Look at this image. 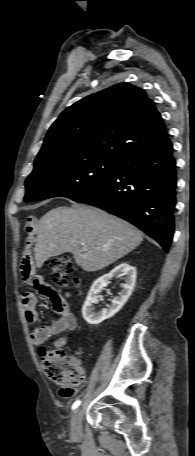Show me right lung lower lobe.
Here are the masks:
<instances>
[{
	"label": "right lung lower lobe",
	"instance_id": "98d812e1",
	"mask_svg": "<svg viewBox=\"0 0 195 456\" xmlns=\"http://www.w3.org/2000/svg\"><path fill=\"white\" fill-rule=\"evenodd\" d=\"M176 162L173 146L131 155L95 189L72 200L127 220L168 251L174 233Z\"/></svg>",
	"mask_w": 195,
	"mask_h": 456
}]
</instances>
